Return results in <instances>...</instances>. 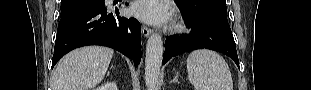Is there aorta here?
<instances>
[{
    "label": "aorta",
    "mask_w": 311,
    "mask_h": 90,
    "mask_svg": "<svg viewBox=\"0 0 311 90\" xmlns=\"http://www.w3.org/2000/svg\"><path fill=\"white\" fill-rule=\"evenodd\" d=\"M162 57V37L157 33H153L150 35L146 45L145 84L147 90H158Z\"/></svg>",
    "instance_id": "762f6f07"
}]
</instances>
